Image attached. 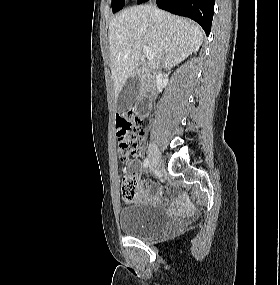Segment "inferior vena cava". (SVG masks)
<instances>
[{
    "label": "inferior vena cava",
    "mask_w": 280,
    "mask_h": 285,
    "mask_svg": "<svg viewBox=\"0 0 280 285\" xmlns=\"http://www.w3.org/2000/svg\"><path fill=\"white\" fill-rule=\"evenodd\" d=\"M165 61H166V58L163 57L162 60H161V63L163 64Z\"/></svg>",
    "instance_id": "obj_1"
}]
</instances>
